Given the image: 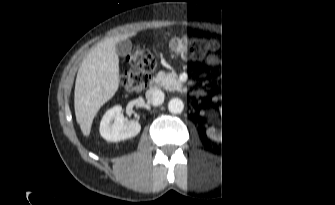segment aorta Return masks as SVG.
<instances>
[{"label": "aorta", "mask_w": 335, "mask_h": 205, "mask_svg": "<svg viewBox=\"0 0 335 205\" xmlns=\"http://www.w3.org/2000/svg\"><path fill=\"white\" fill-rule=\"evenodd\" d=\"M184 108V104L180 99H172L168 104L171 113H180Z\"/></svg>", "instance_id": "762f6f07"}]
</instances>
